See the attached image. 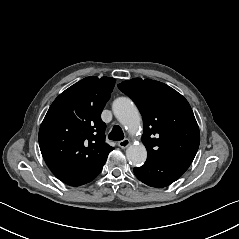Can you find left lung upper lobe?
Listing matches in <instances>:
<instances>
[{
    "instance_id": "1",
    "label": "left lung upper lobe",
    "mask_w": 239,
    "mask_h": 239,
    "mask_svg": "<svg viewBox=\"0 0 239 239\" xmlns=\"http://www.w3.org/2000/svg\"><path fill=\"white\" fill-rule=\"evenodd\" d=\"M118 88L133 99L143 117L147 161L191 163L200 132L188 101L166 84L151 79H131Z\"/></svg>"
}]
</instances>
